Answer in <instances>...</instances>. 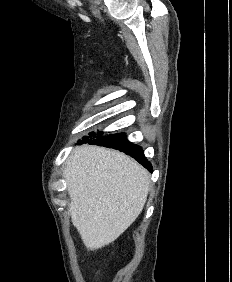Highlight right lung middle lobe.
Returning a JSON list of instances; mask_svg holds the SVG:
<instances>
[{"mask_svg": "<svg viewBox=\"0 0 232 282\" xmlns=\"http://www.w3.org/2000/svg\"><path fill=\"white\" fill-rule=\"evenodd\" d=\"M102 133H103V132L100 131V132L98 133V135H101ZM90 136H95V133H94V132H91V133H90ZM88 138H89V137H85L84 140H86V139H88Z\"/></svg>", "mask_w": 232, "mask_h": 282, "instance_id": "1", "label": "right lung middle lobe"}]
</instances>
